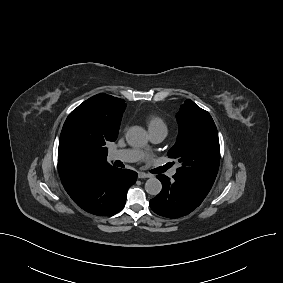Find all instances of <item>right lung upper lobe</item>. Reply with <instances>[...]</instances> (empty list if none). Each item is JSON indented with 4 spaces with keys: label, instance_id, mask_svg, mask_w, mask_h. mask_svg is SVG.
I'll return each mask as SVG.
<instances>
[{
    "label": "right lung upper lobe",
    "instance_id": "right-lung-upper-lobe-1",
    "mask_svg": "<svg viewBox=\"0 0 283 283\" xmlns=\"http://www.w3.org/2000/svg\"><path fill=\"white\" fill-rule=\"evenodd\" d=\"M83 104L91 108L108 127L112 128L121 121L126 107L124 100L107 94L95 95L83 102ZM105 164H109L107 158L80 162L58 149V170L63 186L69 184L76 177L91 172Z\"/></svg>",
    "mask_w": 283,
    "mask_h": 283
}]
</instances>
